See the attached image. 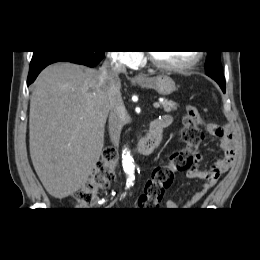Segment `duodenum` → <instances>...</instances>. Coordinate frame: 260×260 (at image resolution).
Segmentation results:
<instances>
[{
  "label": "duodenum",
  "instance_id": "obj_1",
  "mask_svg": "<svg viewBox=\"0 0 260 260\" xmlns=\"http://www.w3.org/2000/svg\"><path fill=\"white\" fill-rule=\"evenodd\" d=\"M166 123L162 119L151 121L147 134L132 148L135 155H149L160 144Z\"/></svg>",
  "mask_w": 260,
  "mask_h": 260
}]
</instances>
